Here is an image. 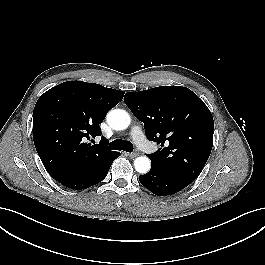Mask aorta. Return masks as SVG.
<instances>
[{"label": "aorta", "mask_w": 265, "mask_h": 265, "mask_svg": "<svg viewBox=\"0 0 265 265\" xmlns=\"http://www.w3.org/2000/svg\"><path fill=\"white\" fill-rule=\"evenodd\" d=\"M107 123L114 130H124L130 125L131 118L125 110L114 109L107 114ZM134 167L137 172L145 174L150 170V159L146 156L137 157L134 160Z\"/></svg>", "instance_id": "762f6f07"}]
</instances>
